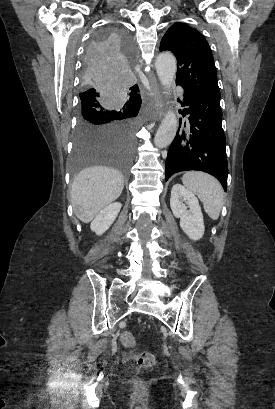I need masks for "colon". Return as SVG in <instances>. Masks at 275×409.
I'll return each instance as SVG.
<instances>
[{"instance_id": "obj_1", "label": "colon", "mask_w": 275, "mask_h": 409, "mask_svg": "<svg viewBox=\"0 0 275 409\" xmlns=\"http://www.w3.org/2000/svg\"><path fill=\"white\" fill-rule=\"evenodd\" d=\"M121 345L130 351V358L142 369H149L154 365V356L150 352L136 351V339L130 331H123L120 335Z\"/></svg>"}]
</instances>
